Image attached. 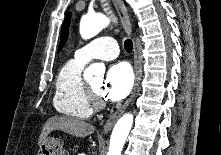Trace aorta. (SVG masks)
I'll return each instance as SVG.
<instances>
[{
  "label": "aorta",
  "mask_w": 221,
  "mask_h": 155,
  "mask_svg": "<svg viewBox=\"0 0 221 155\" xmlns=\"http://www.w3.org/2000/svg\"><path fill=\"white\" fill-rule=\"evenodd\" d=\"M109 20L102 14L83 16L80 22V34L84 39H90L108 26ZM104 66L91 64L84 73L86 79H91L97 73H103ZM133 125V115L124 114L115 124L109 144L108 155H121L127 136Z\"/></svg>",
  "instance_id": "1"
}]
</instances>
